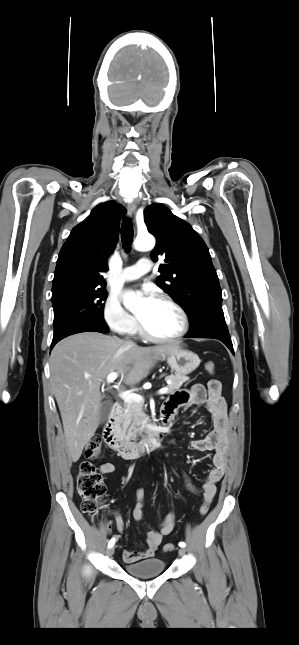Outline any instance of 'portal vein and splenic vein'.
I'll return each mask as SVG.
<instances>
[{"instance_id": "18ae733b", "label": "portal vein and splenic vein", "mask_w": 299, "mask_h": 645, "mask_svg": "<svg viewBox=\"0 0 299 645\" xmlns=\"http://www.w3.org/2000/svg\"><path fill=\"white\" fill-rule=\"evenodd\" d=\"M117 377H118V373H116V372L110 373V374L107 376V379H106V380H107V383H113V382L117 379ZM167 391H168V388H167V387H164V388H161V389L158 391V393H159V394H165V393H167ZM119 396H120V397H121L125 402H137V403H141V402H143V401H144L143 397H142L141 395L136 394V393L120 392V393H119Z\"/></svg>"}]
</instances>
